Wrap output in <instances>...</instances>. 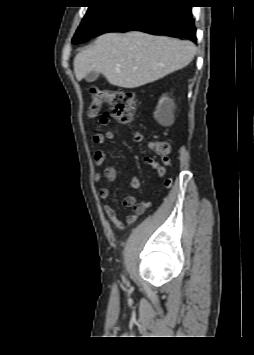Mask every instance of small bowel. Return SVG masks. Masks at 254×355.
<instances>
[{
	"label": "small bowel",
	"mask_w": 254,
	"mask_h": 355,
	"mask_svg": "<svg viewBox=\"0 0 254 355\" xmlns=\"http://www.w3.org/2000/svg\"><path fill=\"white\" fill-rule=\"evenodd\" d=\"M101 126H107L108 120L105 119L104 122H100ZM93 141L98 146H103L106 144L107 141L115 143L116 137L112 131H107L105 133H96L93 136ZM165 164L170 165L171 161L168 158H163ZM94 162L97 167L101 169V172H96L93 175V180L96 183L106 182L110 183L113 182L117 177V172L114 167L105 166V152L102 149H97L94 153ZM145 162L155 170L158 176L162 177L166 174V168L161 165L158 161H156L152 157H146ZM130 187L133 190H137L140 187V179L138 176H134L130 180ZM98 197L101 201H106L109 197V189L107 187H101L98 190ZM124 207L130 208L133 207V213L130 214L126 222L124 223L118 218L116 210L108 205H103V212L104 214L112 221V223L118 229H125L127 225L133 224L137 220V216L143 211L144 205L136 204V198L134 196H127L123 201Z\"/></svg>",
	"instance_id": "small-bowel-1"
}]
</instances>
